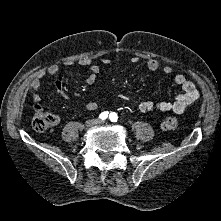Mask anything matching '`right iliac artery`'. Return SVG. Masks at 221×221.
I'll list each match as a JSON object with an SVG mask.
<instances>
[{
    "mask_svg": "<svg viewBox=\"0 0 221 221\" xmlns=\"http://www.w3.org/2000/svg\"><path fill=\"white\" fill-rule=\"evenodd\" d=\"M108 117V112H102L100 115H99V118L101 120H105L106 118Z\"/></svg>",
    "mask_w": 221,
    "mask_h": 221,
    "instance_id": "obj_1",
    "label": "right iliac artery"
}]
</instances>
